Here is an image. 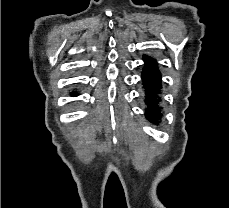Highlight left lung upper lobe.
Returning <instances> with one entry per match:
<instances>
[{
  "instance_id": "obj_1",
  "label": "left lung upper lobe",
  "mask_w": 229,
  "mask_h": 208,
  "mask_svg": "<svg viewBox=\"0 0 229 208\" xmlns=\"http://www.w3.org/2000/svg\"><path fill=\"white\" fill-rule=\"evenodd\" d=\"M143 58H144V60L150 62V63L152 64L153 69H154L158 74H160V72H159V70H158V68H157V64L155 63V61H154L153 59H151V58L148 57V56H144Z\"/></svg>"
}]
</instances>
